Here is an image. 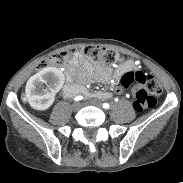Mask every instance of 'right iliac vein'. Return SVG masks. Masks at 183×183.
<instances>
[{"instance_id": "obj_1", "label": "right iliac vein", "mask_w": 183, "mask_h": 183, "mask_svg": "<svg viewBox=\"0 0 183 183\" xmlns=\"http://www.w3.org/2000/svg\"><path fill=\"white\" fill-rule=\"evenodd\" d=\"M80 108H81V104H80L79 102H75V103L72 105V110H73V111H78Z\"/></svg>"}]
</instances>
